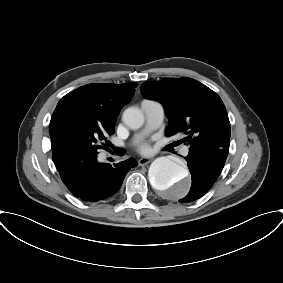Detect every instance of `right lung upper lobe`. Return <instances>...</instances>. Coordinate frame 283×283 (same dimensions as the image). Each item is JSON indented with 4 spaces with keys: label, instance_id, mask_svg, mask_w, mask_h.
I'll use <instances>...</instances> for the list:
<instances>
[{
    "label": "right lung upper lobe",
    "instance_id": "right-lung-upper-lobe-1",
    "mask_svg": "<svg viewBox=\"0 0 283 283\" xmlns=\"http://www.w3.org/2000/svg\"><path fill=\"white\" fill-rule=\"evenodd\" d=\"M136 87L137 83L135 82L88 84L65 95L57 104L50 121L49 134L52 152L56 151L60 142V139L55 135L54 127L59 126L67 112H78L83 116L97 120L108 129H114V123L121 108L131 101ZM54 163L57 167L62 165V163Z\"/></svg>",
    "mask_w": 283,
    "mask_h": 283
}]
</instances>
